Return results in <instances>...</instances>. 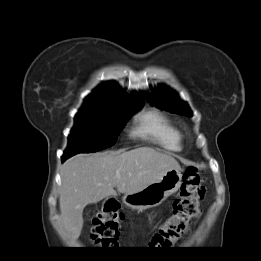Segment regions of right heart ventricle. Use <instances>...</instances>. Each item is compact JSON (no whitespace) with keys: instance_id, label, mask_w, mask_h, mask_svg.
<instances>
[{"instance_id":"right-heart-ventricle-1","label":"right heart ventricle","mask_w":261,"mask_h":261,"mask_svg":"<svg viewBox=\"0 0 261 261\" xmlns=\"http://www.w3.org/2000/svg\"><path fill=\"white\" fill-rule=\"evenodd\" d=\"M138 123L136 134L151 139L165 149L180 150L182 134L165 115L149 111L138 118Z\"/></svg>"}]
</instances>
